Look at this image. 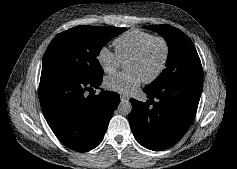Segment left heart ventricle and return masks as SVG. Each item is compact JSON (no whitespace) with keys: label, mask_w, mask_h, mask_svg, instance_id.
Instances as JSON below:
<instances>
[{"label":"left heart ventricle","mask_w":237,"mask_h":169,"mask_svg":"<svg viewBox=\"0 0 237 169\" xmlns=\"http://www.w3.org/2000/svg\"><path fill=\"white\" fill-rule=\"evenodd\" d=\"M163 54V45L160 42H154L141 58L128 60L126 62V70L135 71L142 79H146L158 69Z\"/></svg>","instance_id":"obj_1"}]
</instances>
